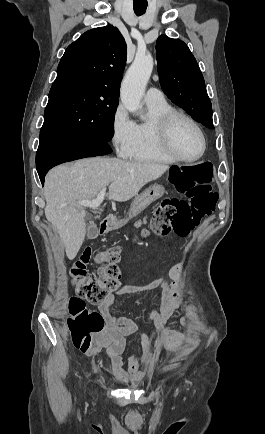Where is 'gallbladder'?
Returning <instances> with one entry per match:
<instances>
[{
  "label": "gallbladder",
  "mask_w": 265,
  "mask_h": 434,
  "mask_svg": "<svg viewBox=\"0 0 265 434\" xmlns=\"http://www.w3.org/2000/svg\"><path fill=\"white\" fill-rule=\"evenodd\" d=\"M87 220H91L93 218L92 214H87L86 216ZM89 232H88V238L89 240H93L94 238H97L98 236V226L95 223H92L90 226H88Z\"/></svg>",
  "instance_id": "gallbladder-1"
}]
</instances>
